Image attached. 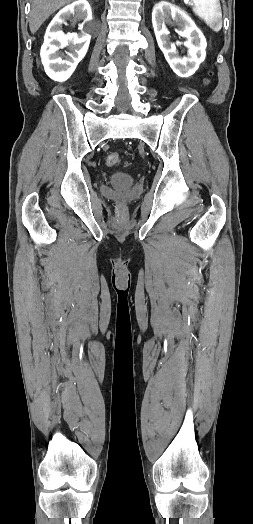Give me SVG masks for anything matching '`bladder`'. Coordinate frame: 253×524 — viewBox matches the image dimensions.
I'll list each match as a JSON object with an SVG mask.
<instances>
[{
    "instance_id": "obj_1",
    "label": "bladder",
    "mask_w": 253,
    "mask_h": 524,
    "mask_svg": "<svg viewBox=\"0 0 253 524\" xmlns=\"http://www.w3.org/2000/svg\"><path fill=\"white\" fill-rule=\"evenodd\" d=\"M134 178L128 174L118 173L112 176L111 184L117 188H126L132 186Z\"/></svg>"
}]
</instances>
